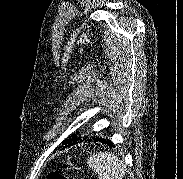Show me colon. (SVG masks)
Returning a JSON list of instances; mask_svg holds the SVG:
<instances>
[{
	"label": "colon",
	"instance_id": "colon-1",
	"mask_svg": "<svg viewBox=\"0 0 183 179\" xmlns=\"http://www.w3.org/2000/svg\"><path fill=\"white\" fill-rule=\"evenodd\" d=\"M48 179H74V178H69V177H67L59 172H52L49 175Z\"/></svg>",
	"mask_w": 183,
	"mask_h": 179
}]
</instances>
